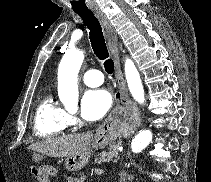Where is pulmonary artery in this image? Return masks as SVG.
<instances>
[{
	"instance_id": "pulmonary-artery-1",
	"label": "pulmonary artery",
	"mask_w": 211,
	"mask_h": 182,
	"mask_svg": "<svg viewBox=\"0 0 211 182\" xmlns=\"http://www.w3.org/2000/svg\"><path fill=\"white\" fill-rule=\"evenodd\" d=\"M103 74L99 70H88L83 74V82L89 87H96L103 83Z\"/></svg>"
}]
</instances>
